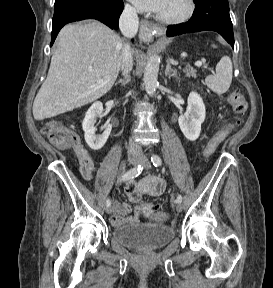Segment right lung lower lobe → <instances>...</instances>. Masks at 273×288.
<instances>
[{
  "mask_svg": "<svg viewBox=\"0 0 273 288\" xmlns=\"http://www.w3.org/2000/svg\"><path fill=\"white\" fill-rule=\"evenodd\" d=\"M124 8L123 0H64L55 2L51 44L67 23L83 19H97L112 29L118 28Z\"/></svg>",
  "mask_w": 273,
  "mask_h": 288,
  "instance_id": "obj_1",
  "label": "right lung lower lobe"
}]
</instances>
